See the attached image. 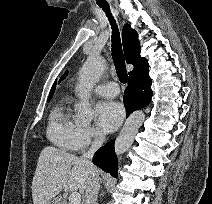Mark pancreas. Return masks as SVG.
Returning <instances> with one entry per match:
<instances>
[{"instance_id":"obj_1","label":"pancreas","mask_w":212,"mask_h":204,"mask_svg":"<svg viewBox=\"0 0 212 204\" xmlns=\"http://www.w3.org/2000/svg\"><path fill=\"white\" fill-rule=\"evenodd\" d=\"M63 204H67V203L64 202ZM68 204H71V203H68Z\"/></svg>"}]
</instances>
